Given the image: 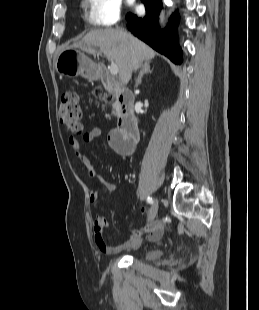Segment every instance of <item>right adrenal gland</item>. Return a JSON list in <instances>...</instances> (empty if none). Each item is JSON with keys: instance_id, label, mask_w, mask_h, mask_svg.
Returning <instances> with one entry per match:
<instances>
[{"instance_id": "right-adrenal-gland-1", "label": "right adrenal gland", "mask_w": 259, "mask_h": 310, "mask_svg": "<svg viewBox=\"0 0 259 310\" xmlns=\"http://www.w3.org/2000/svg\"><path fill=\"white\" fill-rule=\"evenodd\" d=\"M148 73H152V71L150 70V61H146L142 64L140 74L136 80V87H138L141 84L143 75Z\"/></svg>"}]
</instances>
